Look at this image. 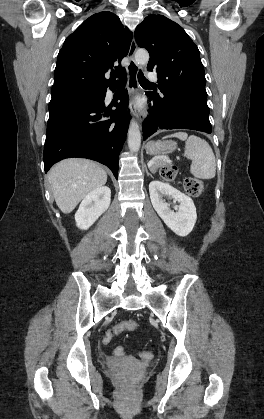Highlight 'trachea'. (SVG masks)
Masks as SVG:
<instances>
[{
  "label": "trachea",
  "mask_w": 264,
  "mask_h": 419,
  "mask_svg": "<svg viewBox=\"0 0 264 419\" xmlns=\"http://www.w3.org/2000/svg\"><path fill=\"white\" fill-rule=\"evenodd\" d=\"M138 81L140 84L153 85V83L149 82L145 78L144 74L141 71H139L138 73ZM126 82H127V77H126V74L124 73L119 78V85H124L126 84Z\"/></svg>",
  "instance_id": "obj_1"
}]
</instances>
